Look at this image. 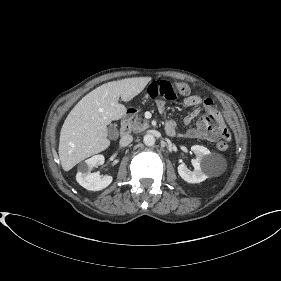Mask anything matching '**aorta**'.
<instances>
[{
  "mask_svg": "<svg viewBox=\"0 0 281 281\" xmlns=\"http://www.w3.org/2000/svg\"><path fill=\"white\" fill-rule=\"evenodd\" d=\"M155 141V137L152 134H146L143 138V142L146 146H153Z\"/></svg>",
  "mask_w": 281,
  "mask_h": 281,
  "instance_id": "1",
  "label": "aorta"
}]
</instances>
